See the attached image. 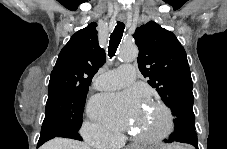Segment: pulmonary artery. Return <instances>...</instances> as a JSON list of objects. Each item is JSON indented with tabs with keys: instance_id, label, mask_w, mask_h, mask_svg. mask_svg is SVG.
I'll return each instance as SVG.
<instances>
[{
	"instance_id": "obj_1",
	"label": "pulmonary artery",
	"mask_w": 227,
	"mask_h": 149,
	"mask_svg": "<svg viewBox=\"0 0 227 149\" xmlns=\"http://www.w3.org/2000/svg\"><path fill=\"white\" fill-rule=\"evenodd\" d=\"M135 79V67L122 65L116 70L100 74L94 86L98 90H116L133 83Z\"/></svg>"
}]
</instances>
